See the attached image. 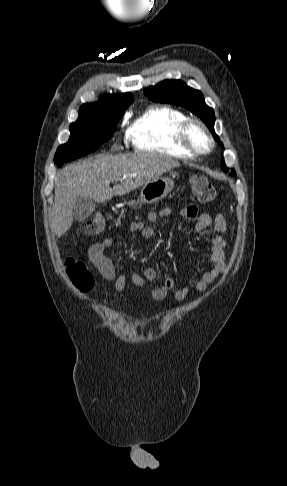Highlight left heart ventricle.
Here are the masks:
<instances>
[{"mask_svg": "<svg viewBox=\"0 0 287 486\" xmlns=\"http://www.w3.org/2000/svg\"><path fill=\"white\" fill-rule=\"evenodd\" d=\"M190 136L196 147L200 149H206L208 147V140L198 128H193Z\"/></svg>", "mask_w": 287, "mask_h": 486, "instance_id": "obj_1", "label": "left heart ventricle"}]
</instances>
